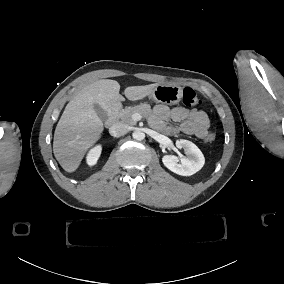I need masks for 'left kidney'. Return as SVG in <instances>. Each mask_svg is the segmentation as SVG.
Wrapping results in <instances>:
<instances>
[{
  "instance_id": "1",
  "label": "left kidney",
  "mask_w": 284,
  "mask_h": 284,
  "mask_svg": "<svg viewBox=\"0 0 284 284\" xmlns=\"http://www.w3.org/2000/svg\"><path fill=\"white\" fill-rule=\"evenodd\" d=\"M175 145L179 149H184L188 157L177 158L174 155L162 156L164 166L170 171L182 176H191L204 166L205 158L194 143L179 139L176 140Z\"/></svg>"
}]
</instances>
